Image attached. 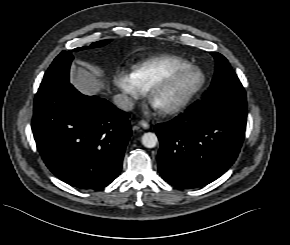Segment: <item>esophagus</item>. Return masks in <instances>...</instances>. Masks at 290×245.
<instances>
[{
    "mask_svg": "<svg viewBox=\"0 0 290 245\" xmlns=\"http://www.w3.org/2000/svg\"><path fill=\"white\" fill-rule=\"evenodd\" d=\"M139 125L144 129H149L150 125L145 120H140Z\"/></svg>",
    "mask_w": 290,
    "mask_h": 245,
    "instance_id": "obj_1",
    "label": "esophagus"
}]
</instances>
